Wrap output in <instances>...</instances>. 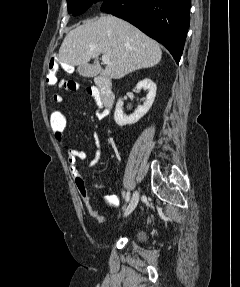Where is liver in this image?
Instances as JSON below:
<instances>
[{"instance_id":"6515ba94","label":"liver","mask_w":240,"mask_h":287,"mask_svg":"<svg viewBox=\"0 0 240 287\" xmlns=\"http://www.w3.org/2000/svg\"><path fill=\"white\" fill-rule=\"evenodd\" d=\"M106 54L109 63L99 74L121 79L127 74L153 67L162 58L159 45L130 23L112 15H102L71 30L58 53L63 65L79 66Z\"/></svg>"}]
</instances>
